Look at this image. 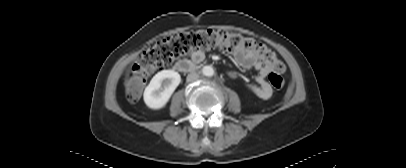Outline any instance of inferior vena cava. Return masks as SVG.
I'll list each match as a JSON object with an SVG mask.
<instances>
[{
  "label": "inferior vena cava",
  "mask_w": 406,
  "mask_h": 168,
  "mask_svg": "<svg viewBox=\"0 0 406 168\" xmlns=\"http://www.w3.org/2000/svg\"><path fill=\"white\" fill-rule=\"evenodd\" d=\"M199 78V75L196 72H191L188 74L186 80L187 82H194Z\"/></svg>",
  "instance_id": "1"
}]
</instances>
